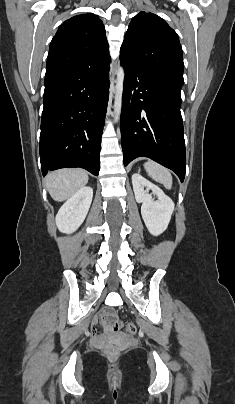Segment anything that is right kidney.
<instances>
[{
  "label": "right kidney",
  "instance_id": "right-kidney-1",
  "mask_svg": "<svg viewBox=\"0 0 235 404\" xmlns=\"http://www.w3.org/2000/svg\"><path fill=\"white\" fill-rule=\"evenodd\" d=\"M93 198V189L83 187L72 195L59 209L56 225L63 233H73L86 218Z\"/></svg>",
  "mask_w": 235,
  "mask_h": 404
}]
</instances>
